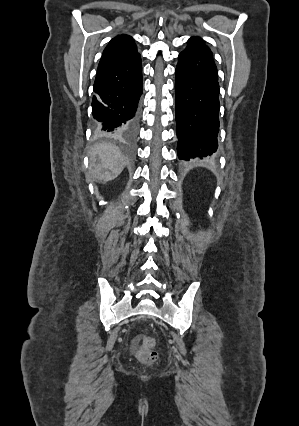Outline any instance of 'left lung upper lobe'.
Here are the masks:
<instances>
[{
  "mask_svg": "<svg viewBox=\"0 0 299 426\" xmlns=\"http://www.w3.org/2000/svg\"><path fill=\"white\" fill-rule=\"evenodd\" d=\"M188 45L185 48L187 51H200L208 54L212 57V52L209 49V47L205 44V41L202 38L199 37H191L188 40Z\"/></svg>",
  "mask_w": 299,
  "mask_h": 426,
  "instance_id": "5c2ea615",
  "label": "left lung upper lobe"
}]
</instances>
